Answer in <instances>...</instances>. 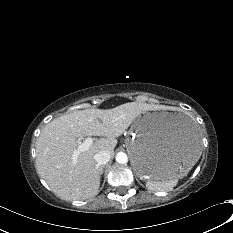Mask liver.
I'll return each mask as SVG.
<instances>
[{"mask_svg": "<svg viewBox=\"0 0 233 233\" xmlns=\"http://www.w3.org/2000/svg\"><path fill=\"white\" fill-rule=\"evenodd\" d=\"M160 107L129 102L112 109H85L60 116L48 123L36 142V170L54 194L64 200H86L98 193L101 166L94 159L99 151L112 155L121 136L132 122L147 111ZM85 136H101L77 159L73 154Z\"/></svg>", "mask_w": 233, "mask_h": 233, "instance_id": "obj_1", "label": "liver"}]
</instances>
